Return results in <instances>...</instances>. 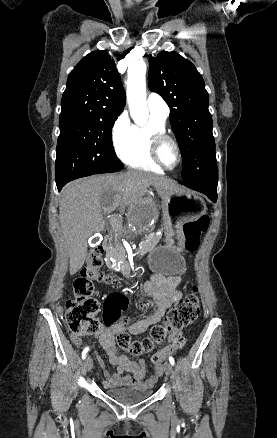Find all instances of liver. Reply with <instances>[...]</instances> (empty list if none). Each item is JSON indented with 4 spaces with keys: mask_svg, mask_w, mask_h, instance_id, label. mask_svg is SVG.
<instances>
[{
    "mask_svg": "<svg viewBox=\"0 0 277 438\" xmlns=\"http://www.w3.org/2000/svg\"><path fill=\"white\" fill-rule=\"evenodd\" d=\"M149 186L162 190L174 188L172 180L135 170L121 176L80 178L63 188L59 220L70 258V276L82 268L87 258L88 238L104 230L103 214H109L117 206L133 210Z\"/></svg>",
    "mask_w": 277,
    "mask_h": 438,
    "instance_id": "6515ba94",
    "label": "liver"
}]
</instances>
